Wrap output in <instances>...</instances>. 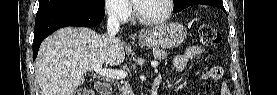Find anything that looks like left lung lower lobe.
Returning a JSON list of instances; mask_svg holds the SVG:
<instances>
[{
    "label": "left lung lower lobe",
    "mask_w": 277,
    "mask_h": 95,
    "mask_svg": "<svg viewBox=\"0 0 277 95\" xmlns=\"http://www.w3.org/2000/svg\"><path fill=\"white\" fill-rule=\"evenodd\" d=\"M195 4H204V5L216 6V7L221 8L226 13V11L224 9V6H223V3H214V2L207 1V0H203V1L197 2ZM195 4H193V5H195Z\"/></svg>",
    "instance_id": "0a47b994"
}]
</instances>
